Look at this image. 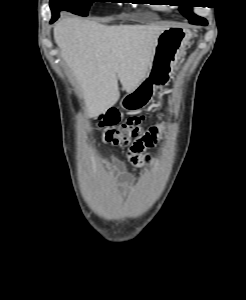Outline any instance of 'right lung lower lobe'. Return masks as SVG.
Wrapping results in <instances>:
<instances>
[{
	"label": "right lung lower lobe",
	"instance_id": "right-lung-lower-lobe-1",
	"mask_svg": "<svg viewBox=\"0 0 246 300\" xmlns=\"http://www.w3.org/2000/svg\"><path fill=\"white\" fill-rule=\"evenodd\" d=\"M59 15L58 16H55V17H52V20L50 21V23H53L54 21H56L58 19Z\"/></svg>",
	"mask_w": 246,
	"mask_h": 300
}]
</instances>
